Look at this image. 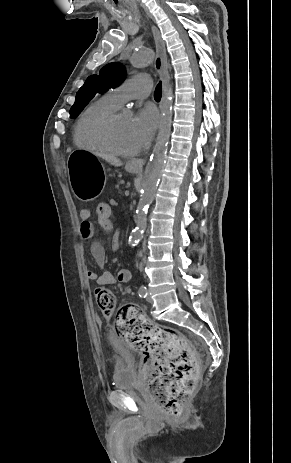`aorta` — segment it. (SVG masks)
<instances>
[{
  "label": "aorta",
  "mask_w": 291,
  "mask_h": 463,
  "mask_svg": "<svg viewBox=\"0 0 291 463\" xmlns=\"http://www.w3.org/2000/svg\"><path fill=\"white\" fill-rule=\"evenodd\" d=\"M153 60V50L145 48L136 52L131 57L130 61L133 67L142 68L151 65ZM172 98L173 92L172 89L169 88L164 97L156 143L145 169L141 198L136 210V227L132 230L128 240L130 246H135L143 237V233L146 229L147 210L154 199L156 188L165 165L173 115L171 107Z\"/></svg>",
  "instance_id": "762f6f07"
}]
</instances>
